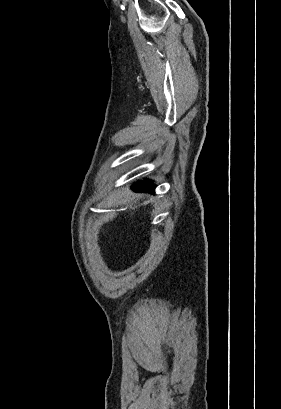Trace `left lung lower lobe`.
<instances>
[{
	"label": "left lung lower lobe",
	"mask_w": 281,
	"mask_h": 409,
	"mask_svg": "<svg viewBox=\"0 0 281 409\" xmlns=\"http://www.w3.org/2000/svg\"><path fill=\"white\" fill-rule=\"evenodd\" d=\"M155 186L147 183V182H140L134 184L133 190L137 192H153Z\"/></svg>",
	"instance_id": "1"
}]
</instances>
